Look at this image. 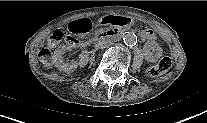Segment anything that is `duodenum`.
Instances as JSON below:
<instances>
[{
    "label": "duodenum",
    "instance_id": "410a0bca",
    "mask_svg": "<svg viewBox=\"0 0 207 123\" xmlns=\"http://www.w3.org/2000/svg\"><path fill=\"white\" fill-rule=\"evenodd\" d=\"M119 35H120V33H119L118 30H116V29H111V30H108V31H105V32H103V33L98 34V35L94 38V42H97V41H105V40L114 38V37L119 36Z\"/></svg>",
    "mask_w": 207,
    "mask_h": 123
}]
</instances>
